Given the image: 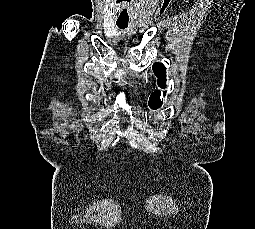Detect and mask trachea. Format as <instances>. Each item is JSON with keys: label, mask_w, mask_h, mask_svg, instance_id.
Wrapping results in <instances>:
<instances>
[{"label": "trachea", "mask_w": 255, "mask_h": 229, "mask_svg": "<svg viewBox=\"0 0 255 229\" xmlns=\"http://www.w3.org/2000/svg\"><path fill=\"white\" fill-rule=\"evenodd\" d=\"M119 29H125L128 26V23H117Z\"/></svg>", "instance_id": "3493384b"}]
</instances>
